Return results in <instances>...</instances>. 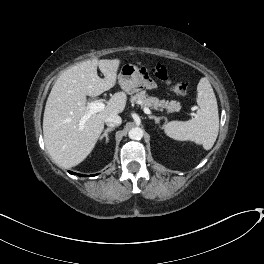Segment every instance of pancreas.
Masks as SVG:
<instances>
[{
  "label": "pancreas",
  "mask_w": 264,
  "mask_h": 264,
  "mask_svg": "<svg viewBox=\"0 0 264 264\" xmlns=\"http://www.w3.org/2000/svg\"><path fill=\"white\" fill-rule=\"evenodd\" d=\"M130 101L131 103L139 104L142 108L147 107L155 110L166 109L169 112L178 111L181 108L180 103L175 100H159L157 97L149 96L145 91H141L134 96H131Z\"/></svg>",
  "instance_id": "pancreas-1"
}]
</instances>
